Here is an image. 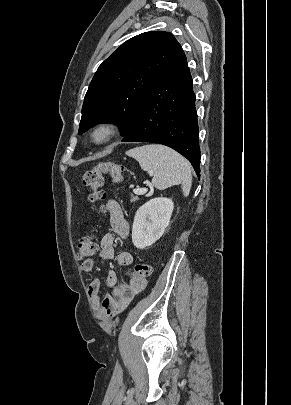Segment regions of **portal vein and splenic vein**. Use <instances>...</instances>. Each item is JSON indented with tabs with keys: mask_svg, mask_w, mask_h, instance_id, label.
I'll list each match as a JSON object with an SVG mask.
<instances>
[{
	"mask_svg": "<svg viewBox=\"0 0 291 405\" xmlns=\"http://www.w3.org/2000/svg\"><path fill=\"white\" fill-rule=\"evenodd\" d=\"M133 192L137 195H143L147 192V188H136Z\"/></svg>",
	"mask_w": 291,
	"mask_h": 405,
	"instance_id": "obj_1",
	"label": "portal vein and splenic vein"
}]
</instances>
